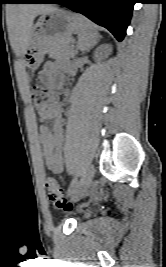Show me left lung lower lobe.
<instances>
[{
    "label": "left lung lower lobe",
    "mask_w": 166,
    "mask_h": 267,
    "mask_svg": "<svg viewBox=\"0 0 166 267\" xmlns=\"http://www.w3.org/2000/svg\"><path fill=\"white\" fill-rule=\"evenodd\" d=\"M33 3H58L66 6L107 28L118 41H122L135 0H36Z\"/></svg>",
    "instance_id": "obj_1"
}]
</instances>
